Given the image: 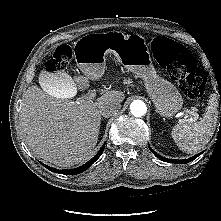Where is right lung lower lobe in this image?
Here are the masks:
<instances>
[{
  "mask_svg": "<svg viewBox=\"0 0 221 221\" xmlns=\"http://www.w3.org/2000/svg\"><path fill=\"white\" fill-rule=\"evenodd\" d=\"M104 148H105V145L102 146V148L100 149V151L91 159L89 160L87 163H85L84 165L82 166H79L75 169H70V170H58V169H55V168H51L43 163H41L43 166H45L48 170H51L52 172H55V173H59V174H65V175H76V174H79V173H82L83 171L87 170L100 156L101 154L103 153L104 151Z\"/></svg>",
  "mask_w": 221,
  "mask_h": 221,
  "instance_id": "right-lung-lower-lobe-1",
  "label": "right lung lower lobe"
}]
</instances>
